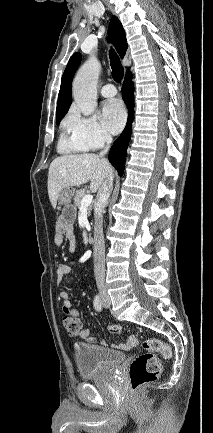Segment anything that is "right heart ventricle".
Wrapping results in <instances>:
<instances>
[{
  "label": "right heart ventricle",
  "instance_id": "e07e8e85",
  "mask_svg": "<svg viewBox=\"0 0 213 433\" xmlns=\"http://www.w3.org/2000/svg\"><path fill=\"white\" fill-rule=\"evenodd\" d=\"M65 128L67 129L66 123ZM58 150L62 153L85 152L88 149L77 143L72 136L68 137L63 133L58 142Z\"/></svg>",
  "mask_w": 213,
  "mask_h": 433
}]
</instances>
